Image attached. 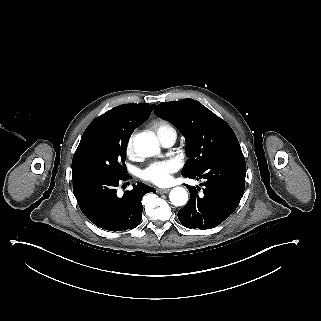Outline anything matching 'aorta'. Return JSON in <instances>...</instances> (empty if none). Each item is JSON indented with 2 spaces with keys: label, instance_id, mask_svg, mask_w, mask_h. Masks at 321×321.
Returning a JSON list of instances; mask_svg holds the SVG:
<instances>
[{
  "label": "aorta",
  "instance_id": "aorta-1",
  "mask_svg": "<svg viewBox=\"0 0 321 321\" xmlns=\"http://www.w3.org/2000/svg\"><path fill=\"white\" fill-rule=\"evenodd\" d=\"M134 150L139 156H153L159 152L157 140L148 133L137 134L133 141ZM171 203L175 206H183L188 201V193L183 187H175L169 194Z\"/></svg>",
  "mask_w": 321,
  "mask_h": 321
}]
</instances>
